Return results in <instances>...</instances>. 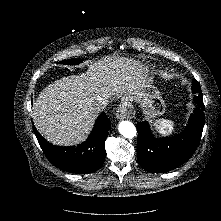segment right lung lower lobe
<instances>
[{"instance_id": "1", "label": "right lung lower lobe", "mask_w": 221, "mask_h": 221, "mask_svg": "<svg viewBox=\"0 0 221 221\" xmlns=\"http://www.w3.org/2000/svg\"><path fill=\"white\" fill-rule=\"evenodd\" d=\"M110 120L103 112L96 120L89 138L77 147L55 146L48 143L33 126L37 140L49 161L64 171L86 174L98 170L105 159V140Z\"/></svg>"}]
</instances>
